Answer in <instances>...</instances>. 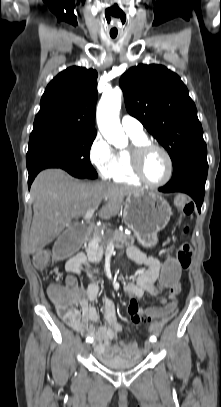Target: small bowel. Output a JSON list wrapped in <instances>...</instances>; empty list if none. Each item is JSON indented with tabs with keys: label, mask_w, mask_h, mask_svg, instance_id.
Masks as SVG:
<instances>
[{
	"label": "small bowel",
	"mask_w": 221,
	"mask_h": 407,
	"mask_svg": "<svg viewBox=\"0 0 221 407\" xmlns=\"http://www.w3.org/2000/svg\"><path fill=\"white\" fill-rule=\"evenodd\" d=\"M128 255L135 263L144 266V269L138 274L136 282L127 281L123 286L124 291L130 297L128 313L131 321L133 324H142L144 321L142 316L145 313V308L138 305L137 299L142 298L145 293L154 297L163 293L158 290L159 279L161 278V263L163 260L155 255H147L137 248H130ZM82 266L86 269L89 282L83 290L78 291V277L81 273ZM66 270L69 273L67 284L75 289L77 298L75 307L68 314L60 315L66 324L81 335L92 338L94 350L98 354L107 357L121 356L127 359L140 357L146 350V347L140 348L136 343H113L117 338V334L122 331L123 326L118 321L115 305L109 298L105 299L104 304V324L96 328V324L99 321V314L93 304L98 300L100 283L92 271L86 254L79 252L78 255H73L69 258L66 263ZM180 291L181 285L173 286L172 292H169V300L176 299ZM159 304H169L168 299L161 297ZM148 308L150 309V307ZM176 311L171 313L169 318L154 319L149 328L150 333H158Z\"/></svg>",
	"instance_id": "small-bowel-1"
}]
</instances>
